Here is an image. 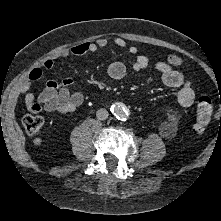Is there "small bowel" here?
I'll list each match as a JSON object with an SVG mask.
<instances>
[{
  "mask_svg": "<svg viewBox=\"0 0 221 221\" xmlns=\"http://www.w3.org/2000/svg\"><path fill=\"white\" fill-rule=\"evenodd\" d=\"M112 43L120 48H127L129 53L135 58L132 65L135 71H141L148 66L149 60L145 55L139 54L135 46H129L128 42L121 37H114ZM108 45V39L99 38L93 42H83L73 46L70 50H62L55 56L47 58L42 67L52 69L58 59L66 58L72 55H86L94 53L98 49L105 48ZM160 74L164 85L177 89V102L183 108L190 107L195 100V92L192 84L184 76L164 62H158L155 65ZM126 66L122 62H113L108 67V74L114 80H120L126 75ZM42 70L34 69L29 77L21 84L20 93L23 96L27 108L36 113L41 109L48 113H73L83 102V95L79 91L72 92L70 87L74 81L71 78H65L61 81L49 80L46 87L38 94L30 92L32 82L40 79Z\"/></svg>",
  "mask_w": 221,
  "mask_h": 221,
  "instance_id": "c3829d8e",
  "label": "small bowel"
}]
</instances>
